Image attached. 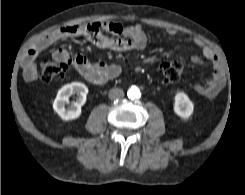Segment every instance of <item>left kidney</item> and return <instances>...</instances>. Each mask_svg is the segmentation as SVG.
I'll return each instance as SVG.
<instances>
[{
    "label": "left kidney",
    "instance_id": "5707ae66",
    "mask_svg": "<svg viewBox=\"0 0 245 195\" xmlns=\"http://www.w3.org/2000/svg\"><path fill=\"white\" fill-rule=\"evenodd\" d=\"M174 99V112L181 118H189L193 114L194 105L187 94L178 92Z\"/></svg>",
    "mask_w": 245,
    "mask_h": 195
}]
</instances>
